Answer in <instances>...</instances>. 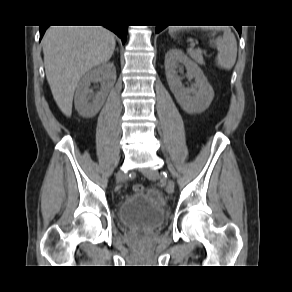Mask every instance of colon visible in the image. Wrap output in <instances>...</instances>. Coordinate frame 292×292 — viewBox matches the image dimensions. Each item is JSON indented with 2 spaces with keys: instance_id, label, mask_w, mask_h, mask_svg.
I'll return each mask as SVG.
<instances>
[{
  "instance_id": "1",
  "label": "colon",
  "mask_w": 292,
  "mask_h": 292,
  "mask_svg": "<svg viewBox=\"0 0 292 292\" xmlns=\"http://www.w3.org/2000/svg\"><path fill=\"white\" fill-rule=\"evenodd\" d=\"M143 186L141 185V184H135V185H133V191L134 192H141V191H143Z\"/></svg>"
}]
</instances>
